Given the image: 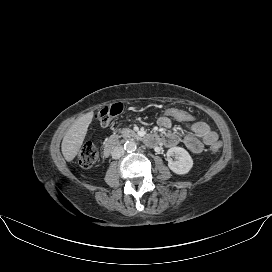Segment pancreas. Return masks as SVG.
Here are the masks:
<instances>
[{"instance_id":"pancreas-1","label":"pancreas","mask_w":272,"mask_h":272,"mask_svg":"<svg viewBox=\"0 0 272 272\" xmlns=\"http://www.w3.org/2000/svg\"><path fill=\"white\" fill-rule=\"evenodd\" d=\"M118 133H120L119 136H122V137H128V136H133L134 135V132L129 128H125V129H122V130L119 129Z\"/></svg>"}]
</instances>
